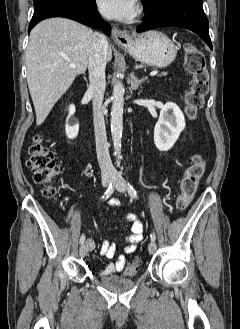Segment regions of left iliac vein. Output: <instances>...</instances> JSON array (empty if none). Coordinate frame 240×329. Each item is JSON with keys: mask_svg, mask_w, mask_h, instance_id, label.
Here are the masks:
<instances>
[{"mask_svg": "<svg viewBox=\"0 0 240 329\" xmlns=\"http://www.w3.org/2000/svg\"><path fill=\"white\" fill-rule=\"evenodd\" d=\"M113 183L117 191L123 193L126 190V183L123 177L119 173H115L113 176ZM157 249L155 241H151L148 245V251L153 254Z\"/></svg>", "mask_w": 240, "mask_h": 329, "instance_id": "4c4485c4", "label": "left iliac vein"}]
</instances>
